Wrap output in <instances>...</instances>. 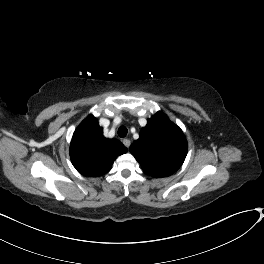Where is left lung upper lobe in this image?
Masks as SVG:
<instances>
[{"label": "left lung upper lobe", "mask_w": 264, "mask_h": 264, "mask_svg": "<svg viewBox=\"0 0 264 264\" xmlns=\"http://www.w3.org/2000/svg\"><path fill=\"white\" fill-rule=\"evenodd\" d=\"M187 149L182 130L161 111L147 121L139 139L129 148L143 171L152 177L176 172L185 160Z\"/></svg>", "instance_id": "1"}]
</instances>
